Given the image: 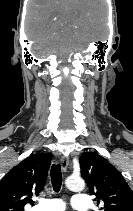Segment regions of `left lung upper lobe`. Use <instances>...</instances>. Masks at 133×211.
Listing matches in <instances>:
<instances>
[{"mask_svg":"<svg viewBox=\"0 0 133 211\" xmlns=\"http://www.w3.org/2000/svg\"><path fill=\"white\" fill-rule=\"evenodd\" d=\"M81 176L104 211H133V191L107 159L93 152L79 158Z\"/></svg>","mask_w":133,"mask_h":211,"instance_id":"left-lung-upper-lobe-1","label":"left lung upper lobe"}]
</instances>
